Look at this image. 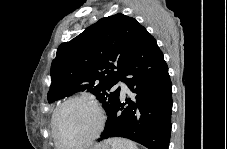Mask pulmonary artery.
<instances>
[{"label":"pulmonary artery","mask_w":227,"mask_h":149,"mask_svg":"<svg viewBox=\"0 0 227 149\" xmlns=\"http://www.w3.org/2000/svg\"><path fill=\"white\" fill-rule=\"evenodd\" d=\"M117 86H120L121 92H122L123 94H126V93L129 92V89H128V87L126 86L125 83L119 82Z\"/></svg>","instance_id":"obj_1"}]
</instances>
